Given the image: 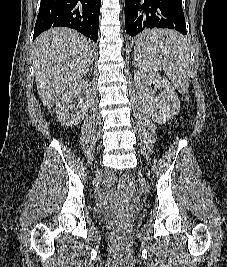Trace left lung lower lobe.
<instances>
[{"label": "left lung lower lobe", "mask_w": 227, "mask_h": 267, "mask_svg": "<svg viewBox=\"0 0 227 267\" xmlns=\"http://www.w3.org/2000/svg\"><path fill=\"white\" fill-rule=\"evenodd\" d=\"M125 28L131 37L152 28H169L186 35L182 0H125Z\"/></svg>", "instance_id": "left-lung-lower-lobe-1"}]
</instances>
